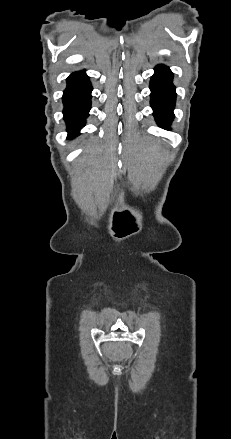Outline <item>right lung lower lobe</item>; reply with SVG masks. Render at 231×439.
Here are the masks:
<instances>
[{"mask_svg":"<svg viewBox=\"0 0 231 439\" xmlns=\"http://www.w3.org/2000/svg\"><path fill=\"white\" fill-rule=\"evenodd\" d=\"M91 91L89 77L84 71L75 72L67 78V88L63 93V116L70 139L77 136L79 129L85 125L91 108Z\"/></svg>","mask_w":231,"mask_h":439,"instance_id":"obj_1","label":"right lung lower lobe"}]
</instances>
